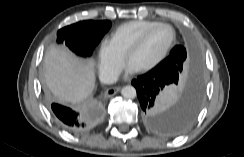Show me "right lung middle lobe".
<instances>
[{
    "label": "right lung middle lobe",
    "instance_id": "obj_1",
    "mask_svg": "<svg viewBox=\"0 0 244 157\" xmlns=\"http://www.w3.org/2000/svg\"><path fill=\"white\" fill-rule=\"evenodd\" d=\"M110 27V21H80L60 29L57 41L64 42L69 49L79 55H91Z\"/></svg>",
    "mask_w": 244,
    "mask_h": 157
}]
</instances>
